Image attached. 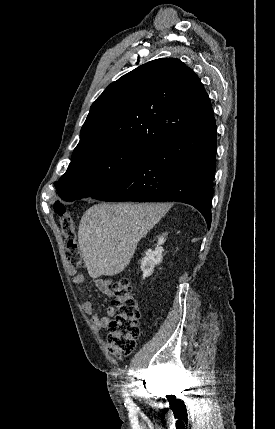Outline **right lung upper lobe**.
I'll return each instance as SVG.
<instances>
[{
  "label": "right lung upper lobe",
  "instance_id": "1",
  "mask_svg": "<svg viewBox=\"0 0 275 429\" xmlns=\"http://www.w3.org/2000/svg\"><path fill=\"white\" fill-rule=\"evenodd\" d=\"M213 123L209 96L194 71L179 59H156L111 83L96 99L71 161L117 144L150 151Z\"/></svg>",
  "mask_w": 275,
  "mask_h": 429
}]
</instances>
